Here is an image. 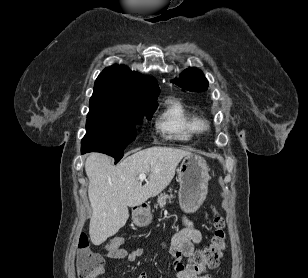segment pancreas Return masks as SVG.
Returning <instances> with one entry per match:
<instances>
[{"mask_svg":"<svg viewBox=\"0 0 308 278\" xmlns=\"http://www.w3.org/2000/svg\"><path fill=\"white\" fill-rule=\"evenodd\" d=\"M174 198V196L172 194L168 195L166 193H162L160 194V196L157 199V204L161 207H164L167 203V201L169 203H171V199Z\"/></svg>","mask_w":308,"mask_h":278,"instance_id":"cf45deb5","label":"pancreas"}]
</instances>
